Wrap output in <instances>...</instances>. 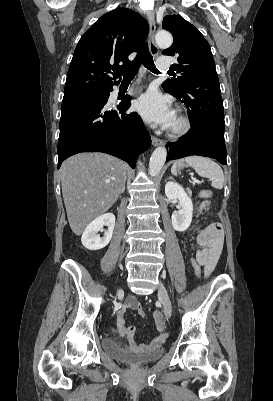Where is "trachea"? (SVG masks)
I'll list each match as a JSON object with an SVG mask.
<instances>
[{
	"mask_svg": "<svg viewBox=\"0 0 273 401\" xmlns=\"http://www.w3.org/2000/svg\"><path fill=\"white\" fill-rule=\"evenodd\" d=\"M143 64L148 70L153 73H159L157 68L155 67L153 57L149 52L147 43H144L139 51L137 52L136 57L129 65L127 70L123 73V81H131L138 72L140 65Z\"/></svg>",
	"mask_w": 273,
	"mask_h": 401,
	"instance_id": "1",
	"label": "trachea"
}]
</instances>
